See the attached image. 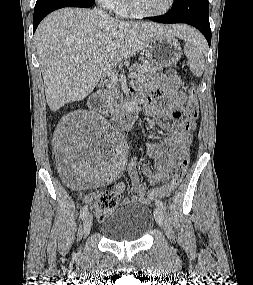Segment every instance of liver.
I'll return each instance as SVG.
<instances>
[{"instance_id": "1", "label": "liver", "mask_w": 253, "mask_h": 285, "mask_svg": "<svg viewBox=\"0 0 253 285\" xmlns=\"http://www.w3.org/2000/svg\"><path fill=\"white\" fill-rule=\"evenodd\" d=\"M189 29L185 25L118 21L100 9L54 11L35 33L49 108L56 111L84 99L105 68L136 55L150 39L165 34L182 38Z\"/></svg>"}]
</instances>
